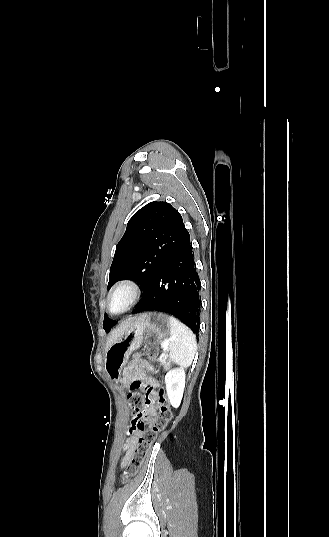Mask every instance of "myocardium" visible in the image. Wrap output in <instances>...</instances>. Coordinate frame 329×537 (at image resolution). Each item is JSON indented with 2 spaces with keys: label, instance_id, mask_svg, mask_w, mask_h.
I'll list each match as a JSON object with an SVG mask.
<instances>
[{
  "label": "myocardium",
  "instance_id": "obj_1",
  "mask_svg": "<svg viewBox=\"0 0 329 537\" xmlns=\"http://www.w3.org/2000/svg\"><path fill=\"white\" fill-rule=\"evenodd\" d=\"M120 289H128L131 292V300H130L129 304L127 305V307L125 309H123L120 312H114L112 310V308H111L110 301H111V298L114 295V293H116ZM140 297H141V288H140V286L134 280L123 279V280L117 282L109 290V292L107 294V297H106L107 310L113 315L124 314V313L128 312L129 310H131L136 305V303L139 301Z\"/></svg>",
  "mask_w": 329,
  "mask_h": 537
}]
</instances>
